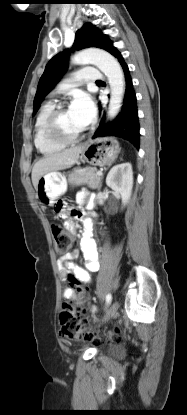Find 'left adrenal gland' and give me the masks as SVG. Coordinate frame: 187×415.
<instances>
[{
  "mask_svg": "<svg viewBox=\"0 0 187 415\" xmlns=\"http://www.w3.org/2000/svg\"><path fill=\"white\" fill-rule=\"evenodd\" d=\"M101 186H102V183L100 184V187H99V189H98V190H100Z\"/></svg>",
  "mask_w": 187,
  "mask_h": 415,
  "instance_id": "1",
  "label": "left adrenal gland"
}]
</instances>
